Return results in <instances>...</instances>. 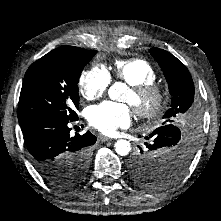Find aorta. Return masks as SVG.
<instances>
[{"label":"aorta","mask_w":221,"mask_h":221,"mask_svg":"<svg viewBox=\"0 0 221 221\" xmlns=\"http://www.w3.org/2000/svg\"><path fill=\"white\" fill-rule=\"evenodd\" d=\"M121 83H115L112 85V87L109 89V96L112 99H116L117 95L119 94ZM115 151L118 155L126 156L131 151V145L130 142L125 139H120L116 141L115 143Z\"/></svg>","instance_id":"1"}]
</instances>
